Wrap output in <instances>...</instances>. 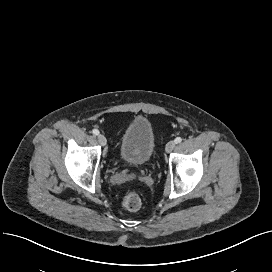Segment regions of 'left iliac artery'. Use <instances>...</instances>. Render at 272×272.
<instances>
[{"label": "left iliac artery", "instance_id": "44dca946", "mask_svg": "<svg viewBox=\"0 0 272 272\" xmlns=\"http://www.w3.org/2000/svg\"><path fill=\"white\" fill-rule=\"evenodd\" d=\"M174 141H175L176 144H178V143H180L182 141V138L181 137H177V138H175Z\"/></svg>", "mask_w": 272, "mask_h": 272}]
</instances>
